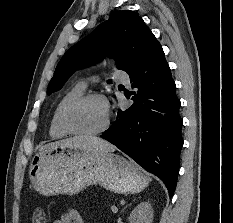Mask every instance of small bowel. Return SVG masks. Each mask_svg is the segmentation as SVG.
Returning <instances> with one entry per match:
<instances>
[{"instance_id":"small-bowel-1","label":"small bowel","mask_w":233,"mask_h":223,"mask_svg":"<svg viewBox=\"0 0 233 223\" xmlns=\"http://www.w3.org/2000/svg\"><path fill=\"white\" fill-rule=\"evenodd\" d=\"M54 223H84L83 217L76 209H69L62 213Z\"/></svg>"}]
</instances>
